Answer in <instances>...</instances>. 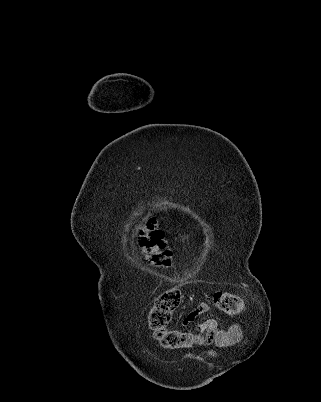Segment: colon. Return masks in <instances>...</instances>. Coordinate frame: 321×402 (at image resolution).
<instances>
[{"label":"colon","instance_id":"1","mask_svg":"<svg viewBox=\"0 0 321 402\" xmlns=\"http://www.w3.org/2000/svg\"><path fill=\"white\" fill-rule=\"evenodd\" d=\"M140 244L149 253L154 254L152 261L160 265L170 262L171 251L167 247L163 233L156 227L155 218L149 217L139 229ZM214 306L230 316L239 315L244 309L240 296L232 292L218 291L213 295ZM181 303L178 289H168L157 296L148 312L147 320L155 339L168 349H183L198 343L199 337L191 332L172 330L168 325L173 313Z\"/></svg>","mask_w":321,"mask_h":402}]
</instances>
